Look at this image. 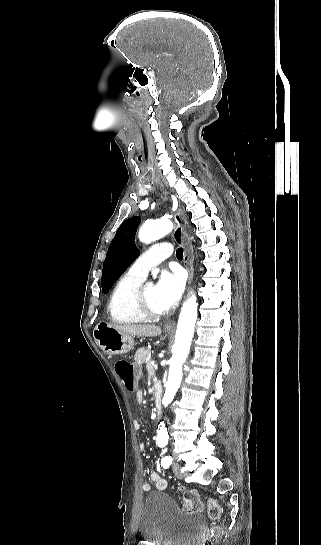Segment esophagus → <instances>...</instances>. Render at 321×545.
Here are the masks:
<instances>
[{
	"label": "esophagus",
	"mask_w": 321,
	"mask_h": 545,
	"mask_svg": "<svg viewBox=\"0 0 321 545\" xmlns=\"http://www.w3.org/2000/svg\"><path fill=\"white\" fill-rule=\"evenodd\" d=\"M162 188L164 190V187ZM185 219L186 216L184 211L179 208L173 217L175 223L173 236L177 243H182L184 245V265L188 272L189 286L193 277V248L186 231V225L184 223ZM174 326V322H168L164 325L166 329H173Z\"/></svg>",
	"instance_id": "34e87169"
}]
</instances>
